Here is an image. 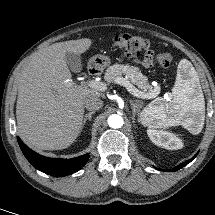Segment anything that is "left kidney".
Segmentation results:
<instances>
[{
  "label": "left kidney",
  "instance_id": "obj_1",
  "mask_svg": "<svg viewBox=\"0 0 215 215\" xmlns=\"http://www.w3.org/2000/svg\"><path fill=\"white\" fill-rule=\"evenodd\" d=\"M147 134L155 145L165 149L177 150L183 147L182 140L173 133L149 129Z\"/></svg>",
  "mask_w": 215,
  "mask_h": 215
}]
</instances>
